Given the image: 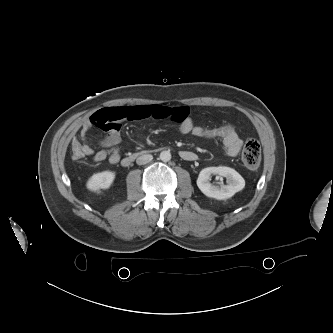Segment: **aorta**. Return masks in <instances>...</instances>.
<instances>
[{
	"label": "aorta",
	"instance_id": "762f6f07",
	"mask_svg": "<svg viewBox=\"0 0 333 333\" xmlns=\"http://www.w3.org/2000/svg\"><path fill=\"white\" fill-rule=\"evenodd\" d=\"M160 159L163 161V162H168L171 160V153L170 151H162L160 153Z\"/></svg>",
	"mask_w": 333,
	"mask_h": 333
}]
</instances>
